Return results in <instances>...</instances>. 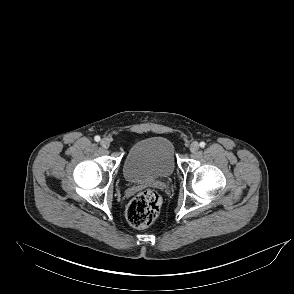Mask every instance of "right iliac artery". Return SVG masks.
Here are the masks:
<instances>
[{
  "instance_id": "1",
  "label": "right iliac artery",
  "mask_w": 294,
  "mask_h": 294,
  "mask_svg": "<svg viewBox=\"0 0 294 294\" xmlns=\"http://www.w3.org/2000/svg\"><path fill=\"white\" fill-rule=\"evenodd\" d=\"M94 140H95L96 142H99V141H100V137H99V136H95V137H94Z\"/></svg>"
}]
</instances>
